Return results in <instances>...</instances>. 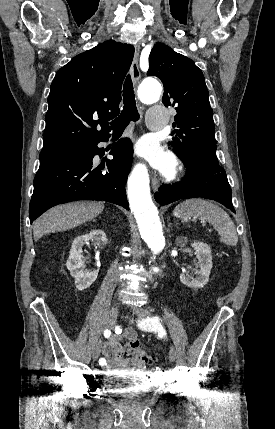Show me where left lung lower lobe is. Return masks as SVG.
Instances as JSON below:
<instances>
[{
	"mask_svg": "<svg viewBox=\"0 0 275 429\" xmlns=\"http://www.w3.org/2000/svg\"><path fill=\"white\" fill-rule=\"evenodd\" d=\"M184 163L187 177L173 186L162 185L155 193L158 203L167 205L179 199L202 197L218 201L235 212L227 175L219 163L206 159Z\"/></svg>",
	"mask_w": 275,
	"mask_h": 429,
	"instance_id": "1",
	"label": "left lung lower lobe"
}]
</instances>
